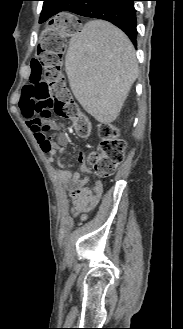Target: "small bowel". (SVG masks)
<instances>
[{
	"label": "small bowel",
	"mask_w": 183,
	"mask_h": 329,
	"mask_svg": "<svg viewBox=\"0 0 183 329\" xmlns=\"http://www.w3.org/2000/svg\"><path fill=\"white\" fill-rule=\"evenodd\" d=\"M23 121L28 129L36 139L43 153L49 155V162H54L59 152L64 148L67 141V134L62 132L56 141H51V148L48 151H43L41 147L42 138L46 133H42L41 124L29 114H21ZM81 167L79 172H71L67 169L59 171V176L63 179L72 182L71 195L73 198L72 211L75 215L84 216L86 213L92 211L99 203L102 192L103 184L100 181L93 182L91 187H87L89 168L84 163V158L80 157Z\"/></svg>",
	"instance_id": "small-bowel-1"
}]
</instances>
